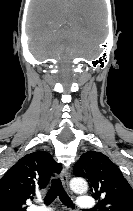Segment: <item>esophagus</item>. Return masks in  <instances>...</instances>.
I'll return each instance as SVG.
<instances>
[{"label":"esophagus","mask_w":133,"mask_h":211,"mask_svg":"<svg viewBox=\"0 0 133 211\" xmlns=\"http://www.w3.org/2000/svg\"><path fill=\"white\" fill-rule=\"evenodd\" d=\"M61 180L63 185L68 189L69 187V174L66 168H63L61 171Z\"/></svg>","instance_id":"esophagus-1"}]
</instances>
